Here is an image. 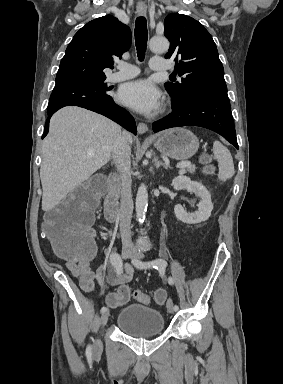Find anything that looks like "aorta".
I'll return each mask as SVG.
<instances>
[{"mask_svg": "<svg viewBox=\"0 0 283 384\" xmlns=\"http://www.w3.org/2000/svg\"><path fill=\"white\" fill-rule=\"evenodd\" d=\"M169 41L165 37H153L150 40L149 48L154 53H164L169 49ZM148 205V192L147 187L143 183L140 185L136 195V215L139 221H143Z\"/></svg>", "mask_w": 283, "mask_h": 384, "instance_id": "1", "label": "aorta"}]
</instances>
